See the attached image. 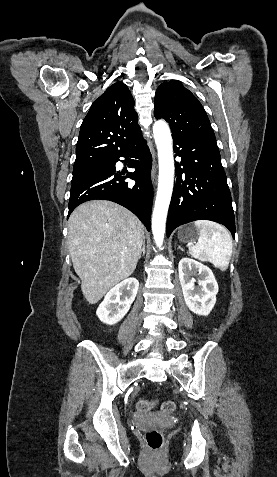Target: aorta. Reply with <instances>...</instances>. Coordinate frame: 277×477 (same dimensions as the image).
<instances>
[{
  "label": "aorta",
  "mask_w": 277,
  "mask_h": 477,
  "mask_svg": "<svg viewBox=\"0 0 277 477\" xmlns=\"http://www.w3.org/2000/svg\"><path fill=\"white\" fill-rule=\"evenodd\" d=\"M153 133L158 150L159 183L152 216V232L156 245L161 247L173 191L174 159L172 137L168 124L163 120L156 121L153 125Z\"/></svg>",
  "instance_id": "aorta-1"
}]
</instances>
